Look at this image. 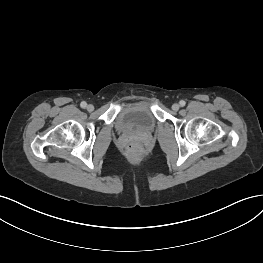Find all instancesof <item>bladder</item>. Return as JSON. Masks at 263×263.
Instances as JSON below:
<instances>
[{
    "label": "bladder",
    "instance_id": "obj_1",
    "mask_svg": "<svg viewBox=\"0 0 263 263\" xmlns=\"http://www.w3.org/2000/svg\"><path fill=\"white\" fill-rule=\"evenodd\" d=\"M156 125L154 110L148 103L125 106L115 120V126L121 132L149 133L155 129Z\"/></svg>",
    "mask_w": 263,
    "mask_h": 263
}]
</instances>
